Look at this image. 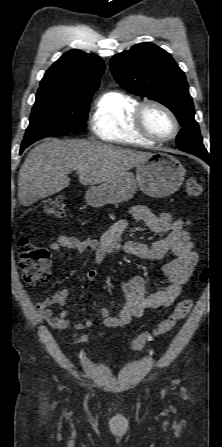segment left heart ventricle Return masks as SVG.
Masks as SVG:
<instances>
[{
    "label": "left heart ventricle",
    "instance_id": "1",
    "mask_svg": "<svg viewBox=\"0 0 222 447\" xmlns=\"http://www.w3.org/2000/svg\"><path fill=\"white\" fill-rule=\"evenodd\" d=\"M147 129L157 137H168L173 132V123L169 116L156 107H148L144 113Z\"/></svg>",
    "mask_w": 222,
    "mask_h": 447
}]
</instances>
